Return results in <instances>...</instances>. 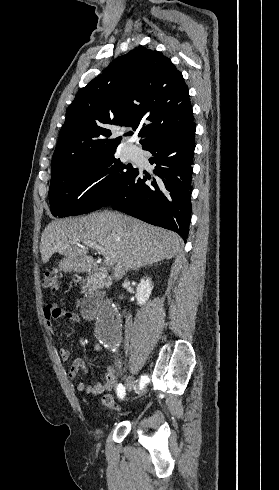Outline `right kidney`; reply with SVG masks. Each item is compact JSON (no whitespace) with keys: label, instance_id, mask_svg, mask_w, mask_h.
<instances>
[{"label":"right kidney","instance_id":"1","mask_svg":"<svg viewBox=\"0 0 279 490\" xmlns=\"http://www.w3.org/2000/svg\"><path fill=\"white\" fill-rule=\"evenodd\" d=\"M152 290L153 286L150 278H143V280L139 282L136 290V300L138 306H144V304H146L147 300H149L151 296Z\"/></svg>","mask_w":279,"mask_h":490}]
</instances>
